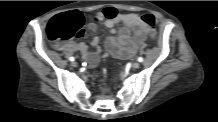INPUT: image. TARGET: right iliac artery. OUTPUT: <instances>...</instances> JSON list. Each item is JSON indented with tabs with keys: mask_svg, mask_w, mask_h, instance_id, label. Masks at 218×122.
<instances>
[{
	"mask_svg": "<svg viewBox=\"0 0 218 122\" xmlns=\"http://www.w3.org/2000/svg\"><path fill=\"white\" fill-rule=\"evenodd\" d=\"M69 60L70 61H74L75 59H74V57H70Z\"/></svg>",
	"mask_w": 218,
	"mask_h": 122,
	"instance_id": "obj_1",
	"label": "right iliac artery"
}]
</instances>
